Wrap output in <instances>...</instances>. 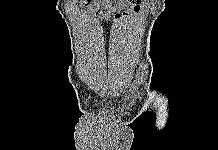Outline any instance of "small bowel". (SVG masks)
<instances>
[{
    "label": "small bowel",
    "instance_id": "1",
    "mask_svg": "<svg viewBox=\"0 0 218 150\" xmlns=\"http://www.w3.org/2000/svg\"><path fill=\"white\" fill-rule=\"evenodd\" d=\"M143 0H125L128 8H122L116 12V7L113 0H93L86 2L84 7L89 13H94L95 17L99 20L108 19L113 16L115 24L120 23L122 20L130 16V12H138L142 8Z\"/></svg>",
    "mask_w": 218,
    "mask_h": 150
}]
</instances>
